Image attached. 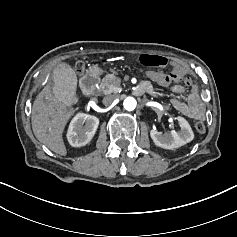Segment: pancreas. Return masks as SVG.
Wrapping results in <instances>:
<instances>
[{
    "instance_id": "pancreas-1",
    "label": "pancreas",
    "mask_w": 237,
    "mask_h": 237,
    "mask_svg": "<svg viewBox=\"0 0 237 237\" xmlns=\"http://www.w3.org/2000/svg\"><path fill=\"white\" fill-rule=\"evenodd\" d=\"M116 80L117 78L114 75L108 74L102 79L99 90L105 95L115 92L120 85V83H116Z\"/></svg>"
}]
</instances>
